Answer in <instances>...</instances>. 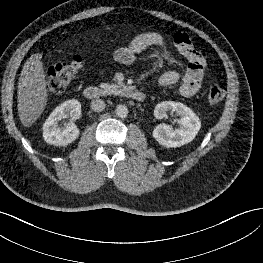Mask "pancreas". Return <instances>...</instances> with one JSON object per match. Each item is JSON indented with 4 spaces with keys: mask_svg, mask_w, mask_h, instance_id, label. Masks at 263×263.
I'll return each instance as SVG.
<instances>
[{
    "mask_svg": "<svg viewBox=\"0 0 263 263\" xmlns=\"http://www.w3.org/2000/svg\"><path fill=\"white\" fill-rule=\"evenodd\" d=\"M100 88L103 95H110L119 93L121 86L117 84L101 83Z\"/></svg>",
    "mask_w": 263,
    "mask_h": 263,
    "instance_id": "1",
    "label": "pancreas"
}]
</instances>
